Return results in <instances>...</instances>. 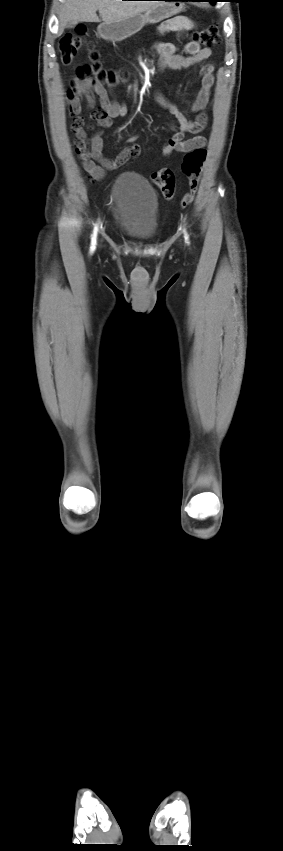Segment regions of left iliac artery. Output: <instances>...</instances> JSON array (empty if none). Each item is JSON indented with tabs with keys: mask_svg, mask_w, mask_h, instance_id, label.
<instances>
[{
	"mask_svg": "<svg viewBox=\"0 0 283 851\" xmlns=\"http://www.w3.org/2000/svg\"><path fill=\"white\" fill-rule=\"evenodd\" d=\"M185 239H186V240H188V236H187V234H186V233H185Z\"/></svg>",
	"mask_w": 283,
	"mask_h": 851,
	"instance_id": "left-iliac-artery-1",
	"label": "left iliac artery"
}]
</instances>
